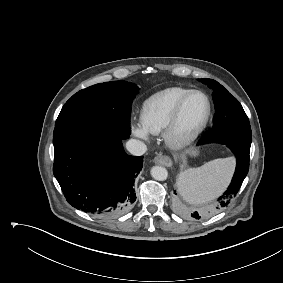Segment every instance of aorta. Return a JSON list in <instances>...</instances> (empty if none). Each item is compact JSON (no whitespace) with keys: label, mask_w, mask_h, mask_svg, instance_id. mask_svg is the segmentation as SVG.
I'll return each mask as SVG.
<instances>
[{"label":"aorta","mask_w":283,"mask_h":283,"mask_svg":"<svg viewBox=\"0 0 283 283\" xmlns=\"http://www.w3.org/2000/svg\"><path fill=\"white\" fill-rule=\"evenodd\" d=\"M151 176L158 181H164L167 179L168 177V172L166 170V168L162 167V166H154L151 169Z\"/></svg>","instance_id":"aorta-1"}]
</instances>
